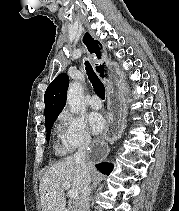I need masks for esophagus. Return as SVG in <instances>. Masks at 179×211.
I'll return each mask as SVG.
<instances>
[{"instance_id": "34e87169", "label": "esophagus", "mask_w": 179, "mask_h": 211, "mask_svg": "<svg viewBox=\"0 0 179 211\" xmlns=\"http://www.w3.org/2000/svg\"><path fill=\"white\" fill-rule=\"evenodd\" d=\"M84 44L91 52V56L94 57V61H97L95 67L96 75H99V79H103V82H109L107 86V94H109V101L107 102L108 116V128H106L105 138L103 144H93L88 151L87 159L88 163H101V159L106 156L108 145H114V141L118 138V133H123L125 130V121L128 120L127 112L124 109L127 108V99L125 93L120 91H128L127 83L124 82V77H119V74L115 72H123V67H115V64H106L107 56L103 51V45H97L96 41L87 33L83 38ZM111 69V70H108ZM114 79H118L119 82H114Z\"/></svg>"}]
</instances>
